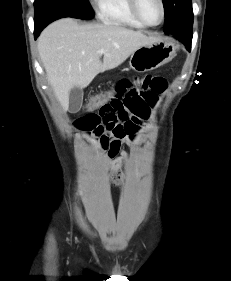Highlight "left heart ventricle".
I'll return each mask as SVG.
<instances>
[{
    "label": "left heart ventricle",
    "mask_w": 231,
    "mask_h": 281,
    "mask_svg": "<svg viewBox=\"0 0 231 281\" xmlns=\"http://www.w3.org/2000/svg\"><path fill=\"white\" fill-rule=\"evenodd\" d=\"M143 17L151 24H157L161 19V6L158 0H139Z\"/></svg>",
    "instance_id": "1"
}]
</instances>
